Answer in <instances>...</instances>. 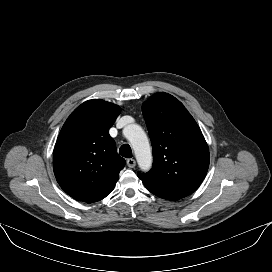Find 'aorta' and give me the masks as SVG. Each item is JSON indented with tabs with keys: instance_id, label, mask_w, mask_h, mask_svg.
<instances>
[{
	"instance_id": "762f6f07",
	"label": "aorta",
	"mask_w": 272,
	"mask_h": 272,
	"mask_svg": "<svg viewBox=\"0 0 272 272\" xmlns=\"http://www.w3.org/2000/svg\"><path fill=\"white\" fill-rule=\"evenodd\" d=\"M125 136L133 147L139 167L145 171L149 170L152 165V153L144 130L137 124H131L126 127Z\"/></svg>"
}]
</instances>
